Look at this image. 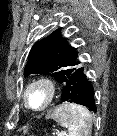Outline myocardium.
<instances>
[{"instance_id":"obj_1","label":"myocardium","mask_w":117,"mask_h":136,"mask_svg":"<svg viewBox=\"0 0 117 136\" xmlns=\"http://www.w3.org/2000/svg\"><path fill=\"white\" fill-rule=\"evenodd\" d=\"M35 87L43 88L46 93V100L44 104L38 108H34L30 106L28 102V94ZM56 91H57L56 83L51 78L44 77V76L35 78L32 81H30L24 89L23 96H22L23 104L25 108L30 111H33V112L44 111L53 101L56 95Z\"/></svg>"}]
</instances>
